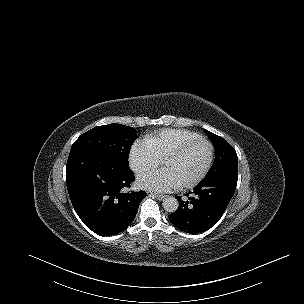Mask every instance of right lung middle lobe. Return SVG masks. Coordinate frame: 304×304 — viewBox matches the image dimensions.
Instances as JSON below:
<instances>
[{"label": "right lung middle lobe", "instance_id": "obj_1", "mask_svg": "<svg viewBox=\"0 0 304 304\" xmlns=\"http://www.w3.org/2000/svg\"><path fill=\"white\" fill-rule=\"evenodd\" d=\"M136 138L137 131L129 126H97L82 134L72 145L71 151L91 150L110 155L115 168L125 170L129 169L128 156Z\"/></svg>", "mask_w": 304, "mask_h": 304}]
</instances>
